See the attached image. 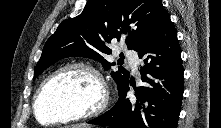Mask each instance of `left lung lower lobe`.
Here are the masks:
<instances>
[{
  "instance_id": "left-lung-lower-lobe-1",
  "label": "left lung lower lobe",
  "mask_w": 221,
  "mask_h": 128,
  "mask_svg": "<svg viewBox=\"0 0 221 128\" xmlns=\"http://www.w3.org/2000/svg\"><path fill=\"white\" fill-rule=\"evenodd\" d=\"M143 58L144 86L135 89L137 100L126 98L128 84L118 102L89 124L111 128H176L183 98V67L177 32L166 15L156 30L136 50Z\"/></svg>"
}]
</instances>
